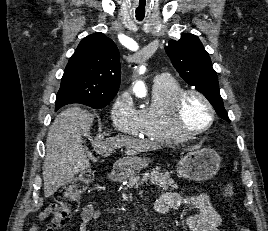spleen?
I'll return each instance as SVG.
<instances>
[{
  "mask_svg": "<svg viewBox=\"0 0 268 231\" xmlns=\"http://www.w3.org/2000/svg\"><path fill=\"white\" fill-rule=\"evenodd\" d=\"M231 188H232V187H231L230 185H228L227 189L225 190V191H226V195L231 196V195L233 194Z\"/></svg>",
  "mask_w": 268,
  "mask_h": 231,
  "instance_id": "obj_1",
  "label": "spleen"
}]
</instances>
